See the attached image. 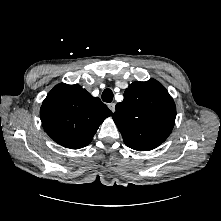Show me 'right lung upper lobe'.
I'll use <instances>...</instances> for the list:
<instances>
[{
  "label": "right lung upper lobe",
  "instance_id": "1",
  "mask_svg": "<svg viewBox=\"0 0 221 221\" xmlns=\"http://www.w3.org/2000/svg\"><path fill=\"white\" fill-rule=\"evenodd\" d=\"M112 112L98 97L80 85H56L40 109L45 132L58 144L70 149L87 146L104 119Z\"/></svg>",
  "mask_w": 221,
  "mask_h": 221
}]
</instances>
